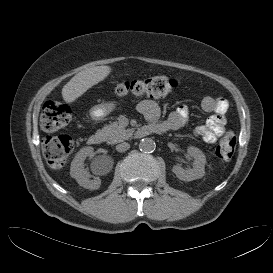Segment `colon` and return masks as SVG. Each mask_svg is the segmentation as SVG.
Masks as SVG:
<instances>
[{"mask_svg":"<svg viewBox=\"0 0 273 273\" xmlns=\"http://www.w3.org/2000/svg\"><path fill=\"white\" fill-rule=\"evenodd\" d=\"M178 86V81L166 76H154L145 79L119 82L114 86L117 96H145L152 99L162 98ZM71 120V110L68 105L48 101L44 104L41 114V126L47 132H53L65 127ZM236 136L228 132L219 142L216 155L222 162L232 159L236 148ZM74 149V142L68 136L46 138L43 151L46 161L51 167H62Z\"/></svg>","mask_w":273,"mask_h":273,"instance_id":"colon-1","label":"colon"}]
</instances>
